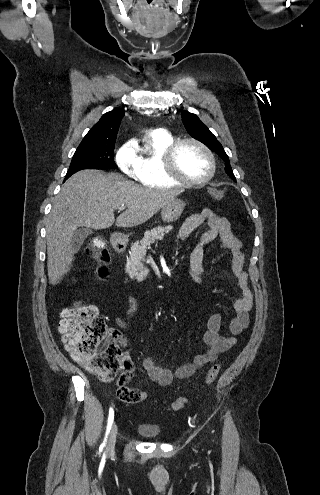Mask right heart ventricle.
I'll return each instance as SVG.
<instances>
[{"instance_id": "e07e8e85", "label": "right heart ventricle", "mask_w": 320, "mask_h": 495, "mask_svg": "<svg viewBox=\"0 0 320 495\" xmlns=\"http://www.w3.org/2000/svg\"><path fill=\"white\" fill-rule=\"evenodd\" d=\"M174 142L170 134L149 133L146 136V147L139 156V181L146 187L167 189L181 184L172 180L164 171L163 154L166 148Z\"/></svg>"}]
</instances>
